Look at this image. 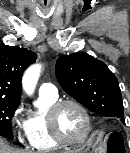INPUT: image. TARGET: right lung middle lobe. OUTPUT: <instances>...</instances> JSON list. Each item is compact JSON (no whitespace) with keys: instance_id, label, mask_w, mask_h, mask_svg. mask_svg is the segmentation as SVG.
Here are the masks:
<instances>
[{"instance_id":"obj_1","label":"right lung middle lobe","mask_w":130,"mask_h":153,"mask_svg":"<svg viewBox=\"0 0 130 153\" xmlns=\"http://www.w3.org/2000/svg\"><path fill=\"white\" fill-rule=\"evenodd\" d=\"M19 102L0 99V136L12 139L11 119Z\"/></svg>"}]
</instances>
